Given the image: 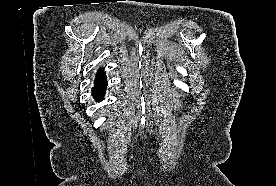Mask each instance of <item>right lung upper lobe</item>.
I'll use <instances>...</instances> for the list:
<instances>
[{
	"mask_svg": "<svg viewBox=\"0 0 276 186\" xmlns=\"http://www.w3.org/2000/svg\"><path fill=\"white\" fill-rule=\"evenodd\" d=\"M103 78H105L104 72L100 70L97 74V79L99 80V79H103Z\"/></svg>",
	"mask_w": 276,
	"mask_h": 186,
	"instance_id": "cb5924a9",
	"label": "right lung upper lobe"
}]
</instances>
